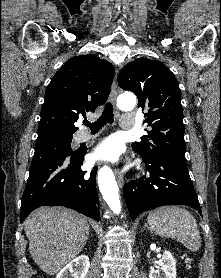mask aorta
I'll use <instances>...</instances> for the list:
<instances>
[{"mask_svg": "<svg viewBox=\"0 0 221 278\" xmlns=\"http://www.w3.org/2000/svg\"><path fill=\"white\" fill-rule=\"evenodd\" d=\"M135 102L134 97L129 99L123 98L119 103V107L122 110H129L134 107ZM98 184L99 190L110 209L114 213L119 214L121 212L119 187L115 180V176L109 167L105 166L99 170Z\"/></svg>", "mask_w": 221, "mask_h": 278, "instance_id": "obj_1", "label": "aorta"}]
</instances>
